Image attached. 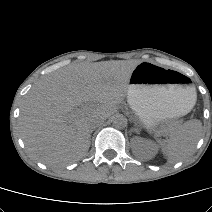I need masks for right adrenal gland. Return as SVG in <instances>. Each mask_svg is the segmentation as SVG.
<instances>
[{"mask_svg":"<svg viewBox=\"0 0 212 212\" xmlns=\"http://www.w3.org/2000/svg\"><path fill=\"white\" fill-rule=\"evenodd\" d=\"M93 132V130H90V134Z\"/></svg>","mask_w":212,"mask_h":212,"instance_id":"2a0ac1e0","label":"right adrenal gland"}]
</instances>
